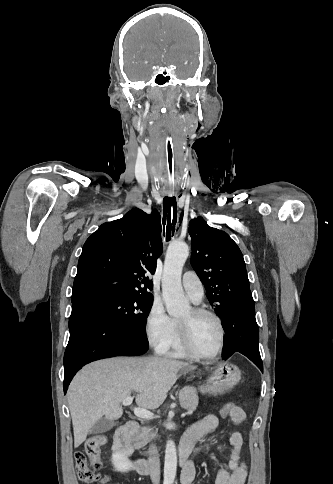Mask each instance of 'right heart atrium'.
<instances>
[{
	"instance_id": "obj_1",
	"label": "right heart atrium",
	"mask_w": 333,
	"mask_h": 484,
	"mask_svg": "<svg viewBox=\"0 0 333 484\" xmlns=\"http://www.w3.org/2000/svg\"><path fill=\"white\" fill-rule=\"evenodd\" d=\"M145 335L149 345L157 352H163L172 337L173 319L166 313L160 301L150 306L144 323Z\"/></svg>"
}]
</instances>
